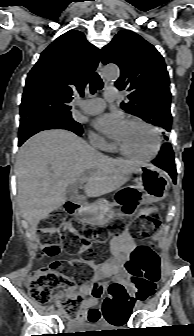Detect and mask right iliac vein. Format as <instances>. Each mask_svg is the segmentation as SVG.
I'll list each match as a JSON object with an SVG mask.
<instances>
[{"mask_svg":"<svg viewBox=\"0 0 194 336\" xmlns=\"http://www.w3.org/2000/svg\"><path fill=\"white\" fill-rule=\"evenodd\" d=\"M58 314H59V315H62V314H63V309L58 310Z\"/></svg>","mask_w":194,"mask_h":336,"instance_id":"obj_1","label":"right iliac vein"}]
</instances>
